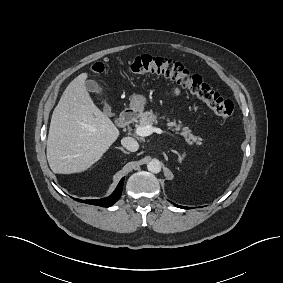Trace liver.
<instances>
[{
	"label": "liver",
	"instance_id": "6515ba94",
	"mask_svg": "<svg viewBox=\"0 0 283 283\" xmlns=\"http://www.w3.org/2000/svg\"><path fill=\"white\" fill-rule=\"evenodd\" d=\"M82 73L72 80L53 111L48 140L47 160L58 174L87 170L101 159L117 140L119 130L93 102Z\"/></svg>",
	"mask_w": 283,
	"mask_h": 283
}]
</instances>
